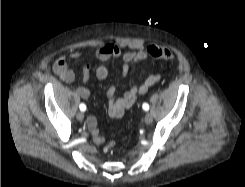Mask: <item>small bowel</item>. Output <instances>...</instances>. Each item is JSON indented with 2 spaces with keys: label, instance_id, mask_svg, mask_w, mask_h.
<instances>
[{
  "label": "small bowel",
  "instance_id": "small-bowel-1",
  "mask_svg": "<svg viewBox=\"0 0 245 187\" xmlns=\"http://www.w3.org/2000/svg\"><path fill=\"white\" fill-rule=\"evenodd\" d=\"M79 59L81 53L73 51L68 56L60 55L54 62L53 70L55 74L64 83H72L75 79L73 71L68 67L67 59ZM149 57L147 49L138 51L122 52L121 49L114 43H106L98 48L95 54L97 65L94 69L95 75L98 79L103 80L108 76V70L103 65L105 62L112 58H120L122 60L121 76L126 78L130 69L139 61L145 60ZM91 75V66L85 65L82 70V81L85 83L89 80ZM161 80L160 73H154L146 77L139 84H132L130 88L125 91L121 96L116 97L118 87L113 85L108 89V114L113 119H120L123 117L126 110L132 108L139 96L147 93L149 88L156 85ZM76 94L80 99L86 100L90 97V89L82 85L76 89ZM87 128L93 136V141L97 145L104 143L105 138L100 134L97 129V121L95 117L90 116L86 122Z\"/></svg>",
  "mask_w": 245,
  "mask_h": 187
}]
</instances>
